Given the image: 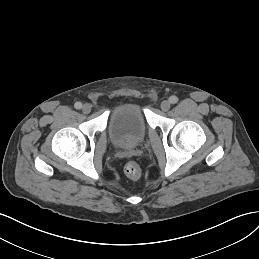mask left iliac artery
Segmentation results:
<instances>
[{
	"label": "left iliac artery",
	"instance_id": "1",
	"mask_svg": "<svg viewBox=\"0 0 259 259\" xmlns=\"http://www.w3.org/2000/svg\"><path fill=\"white\" fill-rule=\"evenodd\" d=\"M169 102L172 103V104H175L178 102V98L176 96H171L169 98Z\"/></svg>",
	"mask_w": 259,
	"mask_h": 259
}]
</instances>
